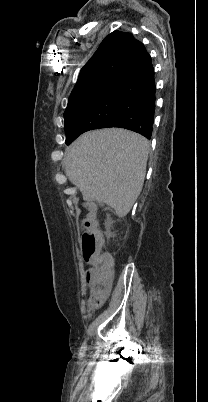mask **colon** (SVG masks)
I'll return each instance as SVG.
<instances>
[{
    "mask_svg": "<svg viewBox=\"0 0 208 402\" xmlns=\"http://www.w3.org/2000/svg\"><path fill=\"white\" fill-rule=\"evenodd\" d=\"M82 227H91V219H85L82 222ZM80 238L85 241L81 250L85 263L87 265H96V268L90 267L86 271L87 279L93 280L90 288L96 292L95 299H88L86 304L88 308H101L105 295L112 294V287L109 285L110 275L113 272L114 257L109 256L107 250H102L103 232H82Z\"/></svg>",
    "mask_w": 208,
    "mask_h": 402,
    "instance_id": "obj_1",
    "label": "colon"
}]
</instances>
